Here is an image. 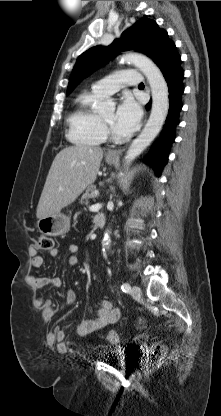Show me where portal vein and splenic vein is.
<instances>
[{
	"mask_svg": "<svg viewBox=\"0 0 221 416\" xmlns=\"http://www.w3.org/2000/svg\"><path fill=\"white\" fill-rule=\"evenodd\" d=\"M101 207L102 205L100 203H97V204L92 205L89 209L91 211H96V210H99Z\"/></svg>",
	"mask_w": 221,
	"mask_h": 416,
	"instance_id": "1",
	"label": "portal vein and splenic vein"
}]
</instances>
